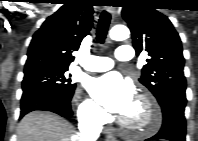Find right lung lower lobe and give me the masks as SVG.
I'll return each instance as SVG.
<instances>
[{"label":"right lung lower lobe","mask_w":198,"mask_h":141,"mask_svg":"<svg viewBox=\"0 0 198 141\" xmlns=\"http://www.w3.org/2000/svg\"><path fill=\"white\" fill-rule=\"evenodd\" d=\"M71 98L72 96H62L45 89L23 91L20 118L35 110L50 111L62 117L70 118L73 114L70 105Z\"/></svg>","instance_id":"1"}]
</instances>
